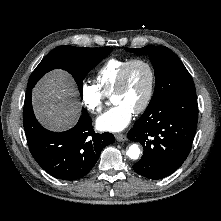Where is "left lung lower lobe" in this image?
I'll list each match as a JSON object with an SVG mask.
<instances>
[{
  "label": "left lung lower lobe",
  "instance_id": "0a47b994",
  "mask_svg": "<svg viewBox=\"0 0 221 221\" xmlns=\"http://www.w3.org/2000/svg\"><path fill=\"white\" fill-rule=\"evenodd\" d=\"M197 119L195 92L150 106L127 134L144 149L133 166L135 172L148 179H162L175 172L190 153Z\"/></svg>",
  "mask_w": 221,
  "mask_h": 221
}]
</instances>
